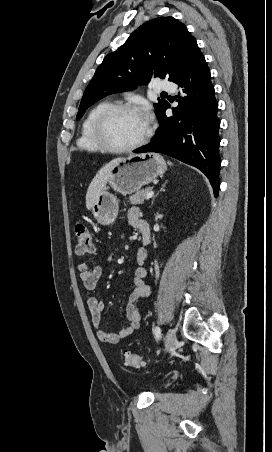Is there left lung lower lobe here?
Returning a JSON list of instances; mask_svg holds the SVG:
<instances>
[{
  "label": "left lung lower lobe",
  "mask_w": 272,
  "mask_h": 452,
  "mask_svg": "<svg viewBox=\"0 0 272 452\" xmlns=\"http://www.w3.org/2000/svg\"><path fill=\"white\" fill-rule=\"evenodd\" d=\"M173 82L185 87L183 92L187 95L178 99L179 105L172 108L171 117L165 114L170 105L164 106L158 116L160 127L153 141L134 152L164 153L198 168L208 177L215 196H218L221 164L218 103L209 68L197 43Z\"/></svg>",
  "instance_id": "1"
}]
</instances>
